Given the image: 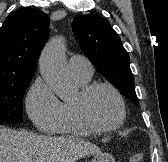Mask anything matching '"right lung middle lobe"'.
I'll return each instance as SVG.
<instances>
[{"label": "right lung middle lobe", "instance_id": "obj_1", "mask_svg": "<svg viewBox=\"0 0 168 162\" xmlns=\"http://www.w3.org/2000/svg\"><path fill=\"white\" fill-rule=\"evenodd\" d=\"M33 76L0 82V124L22 122V100Z\"/></svg>", "mask_w": 168, "mask_h": 162}]
</instances>
